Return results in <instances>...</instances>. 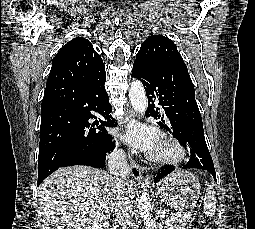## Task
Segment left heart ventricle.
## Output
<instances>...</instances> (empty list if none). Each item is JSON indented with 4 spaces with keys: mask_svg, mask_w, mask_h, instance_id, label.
I'll return each mask as SVG.
<instances>
[{
    "mask_svg": "<svg viewBox=\"0 0 255 229\" xmlns=\"http://www.w3.org/2000/svg\"><path fill=\"white\" fill-rule=\"evenodd\" d=\"M160 150H162V148H161V146H158L156 151H160Z\"/></svg>",
    "mask_w": 255,
    "mask_h": 229,
    "instance_id": "1",
    "label": "left heart ventricle"
}]
</instances>
